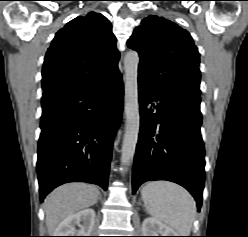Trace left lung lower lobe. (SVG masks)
Here are the masks:
<instances>
[{
	"mask_svg": "<svg viewBox=\"0 0 248 237\" xmlns=\"http://www.w3.org/2000/svg\"><path fill=\"white\" fill-rule=\"evenodd\" d=\"M138 84L141 120L133 193L146 181H172L194 196L200 210L205 180L200 97L165 94L141 79Z\"/></svg>",
	"mask_w": 248,
	"mask_h": 237,
	"instance_id": "0a47b994",
	"label": "left lung lower lobe"
}]
</instances>
